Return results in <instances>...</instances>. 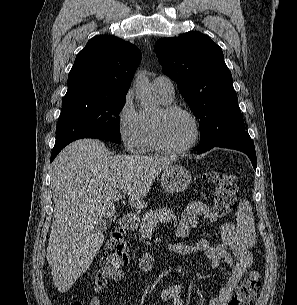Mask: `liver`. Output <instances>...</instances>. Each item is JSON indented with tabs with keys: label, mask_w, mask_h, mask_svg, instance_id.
I'll list each match as a JSON object with an SVG mask.
<instances>
[{
	"label": "liver",
	"mask_w": 297,
	"mask_h": 305,
	"mask_svg": "<svg viewBox=\"0 0 297 305\" xmlns=\"http://www.w3.org/2000/svg\"><path fill=\"white\" fill-rule=\"evenodd\" d=\"M173 158L113 155L97 139L68 145L52 164L54 217L47 260L59 292L68 291L89 268L104 242L97 230L116 212L114 195L124 190L132 206L143 208L154 179Z\"/></svg>",
	"instance_id": "obj_1"
}]
</instances>
